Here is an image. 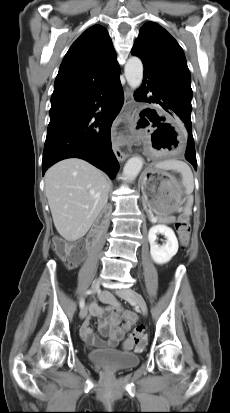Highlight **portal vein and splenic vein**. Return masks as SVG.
I'll return each instance as SVG.
<instances>
[{
    "instance_id": "1",
    "label": "portal vein and splenic vein",
    "mask_w": 230,
    "mask_h": 413,
    "mask_svg": "<svg viewBox=\"0 0 230 413\" xmlns=\"http://www.w3.org/2000/svg\"><path fill=\"white\" fill-rule=\"evenodd\" d=\"M153 221H157V219H156V218H153Z\"/></svg>"
}]
</instances>
